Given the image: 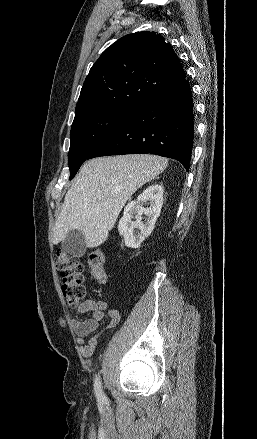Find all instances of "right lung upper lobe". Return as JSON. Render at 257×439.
<instances>
[{"instance_id":"cb5924a9","label":"right lung upper lobe","mask_w":257,"mask_h":439,"mask_svg":"<svg viewBox=\"0 0 257 439\" xmlns=\"http://www.w3.org/2000/svg\"><path fill=\"white\" fill-rule=\"evenodd\" d=\"M185 78L178 56L161 35L149 31L126 35L108 47L90 69L76 116L95 111L131 114Z\"/></svg>"}]
</instances>
